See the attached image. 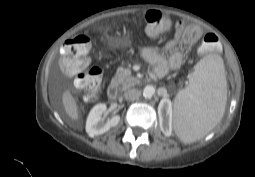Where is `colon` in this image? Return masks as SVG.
<instances>
[{
    "mask_svg": "<svg viewBox=\"0 0 255 177\" xmlns=\"http://www.w3.org/2000/svg\"><path fill=\"white\" fill-rule=\"evenodd\" d=\"M145 29L150 37H158L169 31L171 18L160 11L149 10L145 14ZM218 37L214 34L205 35L201 49L211 51L217 46ZM91 38L86 34L67 40L61 47L60 67L62 71L75 78V86L86 94L88 99H94L101 84V70L90 67L89 50Z\"/></svg>",
    "mask_w": 255,
    "mask_h": 177,
    "instance_id": "obj_1",
    "label": "colon"
}]
</instances>
